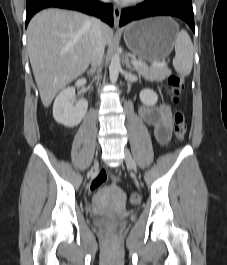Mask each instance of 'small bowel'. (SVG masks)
Segmentation results:
<instances>
[{"label": "small bowel", "mask_w": 227, "mask_h": 265, "mask_svg": "<svg viewBox=\"0 0 227 265\" xmlns=\"http://www.w3.org/2000/svg\"><path fill=\"white\" fill-rule=\"evenodd\" d=\"M142 120L154 129V135L160 145H166L172 135L171 110L167 105L150 107L142 105L139 108Z\"/></svg>", "instance_id": "small-bowel-1"}]
</instances>
